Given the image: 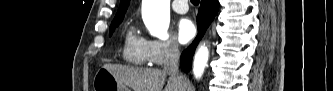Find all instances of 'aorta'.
Wrapping results in <instances>:
<instances>
[{
  "mask_svg": "<svg viewBox=\"0 0 333 91\" xmlns=\"http://www.w3.org/2000/svg\"><path fill=\"white\" fill-rule=\"evenodd\" d=\"M143 21L152 36L161 40L168 38L170 23V0H143ZM208 49L201 46L195 54L193 73L201 78L208 61Z\"/></svg>",
  "mask_w": 333,
  "mask_h": 91,
  "instance_id": "762f6f07",
  "label": "aorta"
}]
</instances>
